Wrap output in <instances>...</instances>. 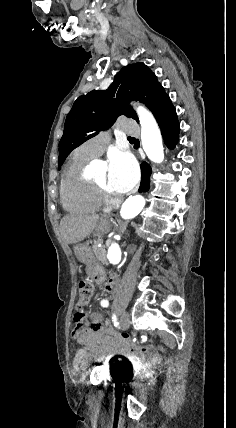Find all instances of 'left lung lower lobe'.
Returning <instances> with one entry per match:
<instances>
[{
	"label": "left lung lower lobe",
	"instance_id": "0a47b994",
	"mask_svg": "<svg viewBox=\"0 0 236 428\" xmlns=\"http://www.w3.org/2000/svg\"><path fill=\"white\" fill-rule=\"evenodd\" d=\"M155 118L158 122V125L161 129L162 136L164 138V143L170 149H173L179 139V122L176 114V110L172 103H169L162 109L158 111L155 115ZM141 184L139 192L148 191L150 186V175L151 167L143 163L141 165Z\"/></svg>",
	"mask_w": 236,
	"mask_h": 428
}]
</instances>
